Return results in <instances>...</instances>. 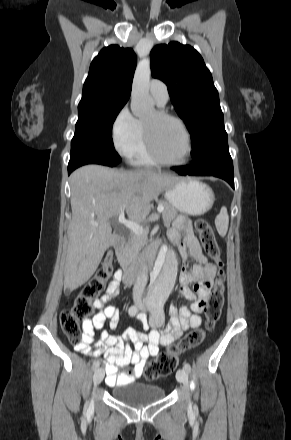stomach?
Here are the masks:
<instances>
[{"label":"stomach","mask_w":291,"mask_h":440,"mask_svg":"<svg viewBox=\"0 0 291 440\" xmlns=\"http://www.w3.org/2000/svg\"><path fill=\"white\" fill-rule=\"evenodd\" d=\"M167 202L181 213L200 216L211 209L215 201L213 190L195 179H180L165 190Z\"/></svg>","instance_id":"obj_1"}]
</instances>
